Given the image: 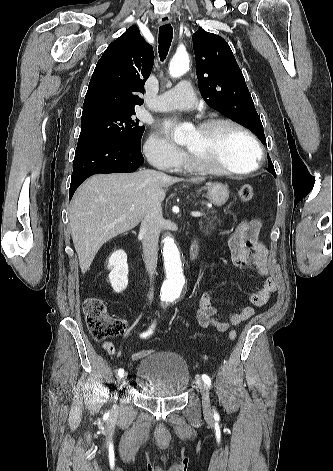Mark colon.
Returning a JSON list of instances; mask_svg holds the SVG:
<instances>
[{
  "instance_id": "5ec220e1",
  "label": "colon",
  "mask_w": 333,
  "mask_h": 471,
  "mask_svg": "<svg viewBox=\"0 0 333 471\" xmlns=\"http://www.w3.org/2000/svg\"><path fill=\"white\" fill-rule=\"evenodd\" d=\"M254 190L252 185L244 184L239 190V198L243 202H248L253 198ZM83 311L87 327L97 341H102L110 337L122 334L126 328L125 322L119 318L112 317L107 312L104 302L97 297H90L83 304ZM236 331L229 332V339L236 338ZM152 351L141 350L132 355L134 360H140L150 355Z\"/></svg>"
}]
</instances>
